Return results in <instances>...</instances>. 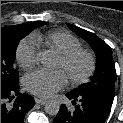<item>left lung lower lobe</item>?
Instances as JSON below:
<instances>
[{
  "mask_svg": "<svg viewBox=\"0 0 123 123\" xmlns=\"http://www.w3.org/2000/svg\"><path fill=\"white\" fill-rule=\"evenodd\" d=\"M66 96L72 100L75 110L69 111L61 105L53 123H104L113 103V98L100 94L71 91Z\"/></svg>",
  "mask_w": 123,
  "mask_h": 123,
  "instance_id": "0a47b994",
  "label": "left lung lower lobe"
}]
</instances>
